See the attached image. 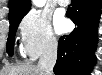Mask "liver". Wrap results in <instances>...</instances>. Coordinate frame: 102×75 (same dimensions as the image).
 I'll use <instances>...</instances> for the list:
<instances>
[{
  "instance_id": "1",
  "label": "liver",
  "mask_w": 102,
  "mask_h": 75,
  "mask_svg": "<svg viewBox=\"0 0 102 75\" xmlns=\"http://www.w3.org/2000/svg\"><path fill=\"white\" fill-rule=\"evenodd\" d=\"M0 75H46L38 65L24 64L18 66H6L0 71Z\"/></svg>"
}]
</instances>
